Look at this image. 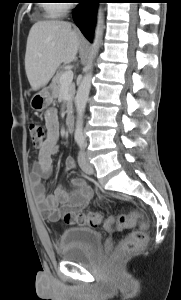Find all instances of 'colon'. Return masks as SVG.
<instances>
[{
	"label": "colon",
	"mask_w": 181,
	"mask_h": 300,
	"mask_svg": "<svg viewBox=\"0 0 181 300\" xmlns=\"http://www.w3.org/2000/svg\"><path fill=\"white\" fill-rule=\"evenodd\" d=\"M29 136L32 145L39 148L43 145L46 130L40 124L31 122L29 124ZM69 224H79L83 226H98L103 222V215L100 212L93 211L88 214H71L68 213L64 217ZM141 220V215L135 211L128 214H122L116 217H109L105 220V229L108 232L118 231L126 228L134 227ZM148 225L146 222H141L139 229L132 231L124 237L118 245L115 257L118 260L124 259L133 252L144 246L147 242Z\"/></svg>",
	"instance_id": "5ec220e1"
}]
</instances>
